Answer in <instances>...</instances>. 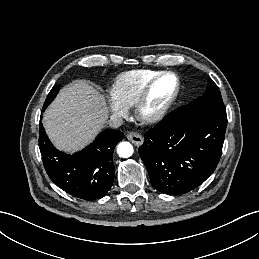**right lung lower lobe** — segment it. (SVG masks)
<instances>
[{"mask_svg":"<svg viewBox=\"0 0 259 259\" xmlns=\"http://www.w3.org/2000/svg\"><path fill=\"white\" fill-rule=\"evenodd\" d=\"M39 148L50 179L66 193L84 200L106 195L112 186L114 148L124 138L119 130H105L83 151L70 156L58 151L39 125Z\"/></svg>","mask_w":259,"mask_h":259,"instance_id":"right-lung-lower-lobe-1","label":"right lung lower lobe"}]
</instances>
